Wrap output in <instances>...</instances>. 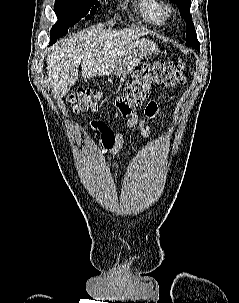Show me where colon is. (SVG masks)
Instances as JSON below:
<instances>
[{"instance_id":"colon-1","label":"colon","mask_w":239,"mask_h":303,"mask_svg":"<svg viewBox=\"0 0 239 303\" xmlns=\"http://www.w3.org/2000/svg\"><path fill=\"white\" fill-rule=\"evenodd\" d=\"M185 82V64L183 61H158L144 63L128 81L124 90L113 102L118 116L131 117L145 99L149 90L156 86H175ZM100 93L88 88H80L69 96L75 112L96 111L100 101ZM99 127L104 124L98 122Z\"/></svg>"}]
</instances>
